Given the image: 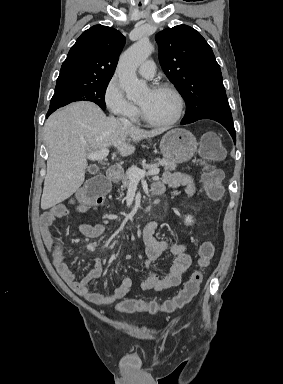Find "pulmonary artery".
<instances>
[{
    "instance_id": "1",
    "label": "pulmonary artery",
    "mask_w": 283,
    "mask_h": 384,
    "mask_svg": "<svg viewBox=\"0 0 283 384\" xmlns=\"http://www.w3.org/2000/svg\"><path fill=\"white\" fill-rule=\"evenodd\" d=\"M155 71V65L151 61H144L138 67L139 75L148 79L152 78L155 75Z\"/></svg>"
}]
</instances>
